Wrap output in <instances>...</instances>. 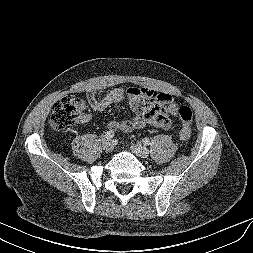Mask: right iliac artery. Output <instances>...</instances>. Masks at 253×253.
Wrapping results in <instances>:
<instances>
[{
    "label": "right iliac artery",
    "mask_w": 253,
    "mask_h": 253,
    "mask_svg": "<svg viewBox=\"0 0 253 253\" xmlns=\"http://www.w3.org/2000/svg\"><path fill=\"white\" fill-rule=\"evenodd\" d=\"M104 137H105V139L109 140V139H111V138L114 137V132H112V131H107V132L105 133Z\"/></svg>",
    "instance_id": "1"
}]
</instances>
